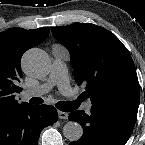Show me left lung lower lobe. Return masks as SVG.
Wrapping results in <instances>:
<instances>
[{
	"label": "left lung lower lobe",
	"mask_w": 145,
	"mask_h": 145,
	"mask_svg": "<svg viewBox=\"0 0 145 145\" xmlns=\"http://www.w3.org/2000/svg\"><path fill=\"white\" fill-rule=\"evenodd\" d=\"M138 106L92 105L90 113L82 110L69 114L84 129L83 136L69 145H125L136 122Z\"/></svg>",
	"instance_id": "left-lung-lower-lobe-1"
}]
</instances>
